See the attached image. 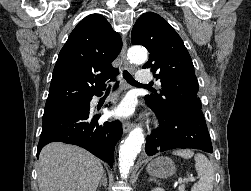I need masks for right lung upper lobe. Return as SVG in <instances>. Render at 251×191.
Instances as JSON below:
<instances>
[{"label":"right lung upper lobe","mask_w":251,"mask_h":191,"mask_svg":"<svg viewBox=\"0 0 251 191\" xmlns=\"http://www.w3.org/2000/svg\"><path fill=\"white\" fill-rule=\"evenodd\" d=\"M122 48L120 35L100 14L84 18L61 49L45 109L87 101L118 74L111 63Z\"/></svg>","instance_id":"cb5924a9"}]
</instances>
